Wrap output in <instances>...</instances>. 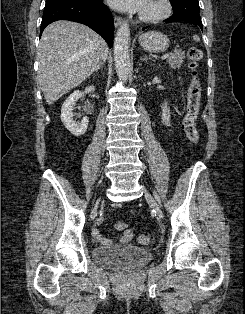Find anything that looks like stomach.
<instances>
[{
    "instance_id": "obj_1",
    "label": "stomach",
    "mask_w": 245,
    "mask_h": 314,
    "mask_svg": "<svg viewBox=\"0 0 245 314\" xmlns=\"http://www.w3.org/2000/svg\"><path fill=\"white\" fill-rule=\"evenodd\" d=\"M168 37L158 31H148L139 37V44L146 51L163 52L169 47Z\"/></svg>"
}]
</instances>
